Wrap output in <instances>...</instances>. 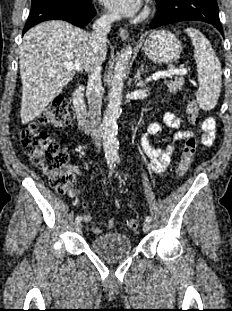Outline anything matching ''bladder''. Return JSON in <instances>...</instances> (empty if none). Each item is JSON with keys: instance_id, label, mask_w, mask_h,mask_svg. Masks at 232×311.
<instances>
[{"instance_id": "bladder-1", "label": "bladder", "mask_w": 232, "mask_h": 311, "mask_svg": "<svg viewBox=\"0 0 232 311\" xmlns=\"http://www.w3.org/2000/svg\"><path fill=\"white\" fill-rule=\"evenodd\" d=\"M91 248L106 258L116 259L127 255L132 250V243L126 234L109 232L95 237Z\"/></svg>"}]
</instances>
